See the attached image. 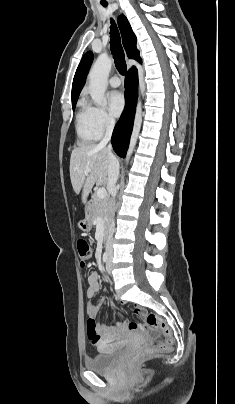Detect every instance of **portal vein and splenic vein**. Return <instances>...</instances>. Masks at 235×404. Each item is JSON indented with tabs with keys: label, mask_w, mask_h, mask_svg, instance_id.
I'll return each instance as SVG.
<instances>
[{
	"label": "portal vein and splenic vein",
	"mask_w": 235,
	"mask_h": 404,
	"mask_svg": "<svg viewBox=\"0 0 235 404\" xmlns=\"http://www.w3.org/2000/svg\"><path fill=\"white\" fill-rule=\"evenodd\" d=\"M89 172H90L89 168L85 170V174H88ZM96 195L98 198L103 199L107 196V192H106L105 188H99L96 192Z\"/></svg>",
	"instance_id": "obj_1"
}]
</instances>
